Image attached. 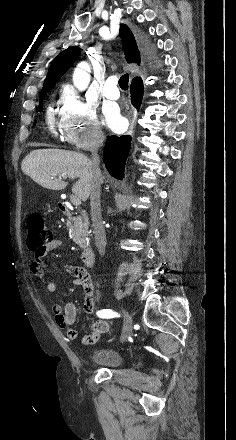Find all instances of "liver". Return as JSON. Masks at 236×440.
<instances>
[{
    "instance_id": "6515ba94",
    "label": "liver",
    "mask_w": 236,
    "mask_h": 440,
    "mask_svg": "<svg viewBox=\"0 0 236 440\" xmlns=\"http://www.w3.org/2000/svg\"><path fill=\"white\" fill-rule=\"evenodd\" d=\"M22 172L40 186L51 190H63L64 178H79L73 193L86 201L91 193L93 171L91 160L82 153L60 149L31 151L21 163Z\"/></svg>"
}]
</instances>
